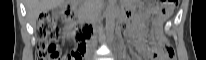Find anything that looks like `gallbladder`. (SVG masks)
Returning <instances> with one entry per match:
<instances>
[{
  "label": "gallbladder",
  "instance_id": "bac80fb5",
  "mask_svg": "<svg viewBox=\"0 0 206 60\" xmlns=\"http://www.w3.org/2000/svg\"><path fill=\"white\" fill-rule=\"evenodd\" d=\"M53 14H55L57 17L60 15V8H55L52 10Z\"/></svg>",
  "mask_w": 206,
  "mask_h": 60
}]
</instances>
